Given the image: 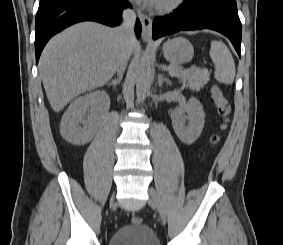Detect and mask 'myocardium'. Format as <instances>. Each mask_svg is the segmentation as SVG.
Masks as SVG:
<instances>
[{"label": "myocardium", "mask_w": 283, "mask_h": 245, "mask_svg": "<svg viewBox=\"0 0 283 245\" xmlns=\"http://www.w3.org/2000/svg\"><path fill=\"white\" fill-rule=\"evenodd\" d=\"M186 0H158L155 2V10L159 13L168 14L180 9Z\"/></svg>", "instance_id": "obj_1"}]
</instances>
